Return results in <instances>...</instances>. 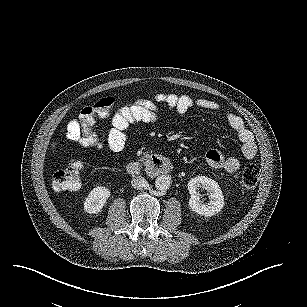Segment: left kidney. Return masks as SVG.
I'll return each instance as SVG.
<instances>
[{
	"label": "left kidney",
	"mask_w": 307,
	"mask_h": 307,
	"mask_svg": "<svg viewBox=\"0 0 307 307\" xmlns=\"http://www.w3.org/2000/svg\"><path fill=\"white\" fill-rule=\"evenodd\" d=\"M190 209L205 217H211L220 212L224 206V196L218 183L205 176L191 178L188 182ZM199 189L207 191L209 202L204 204L200 199Z\"/></svg>",
	"instance_id": "1"
}]
</instances>
